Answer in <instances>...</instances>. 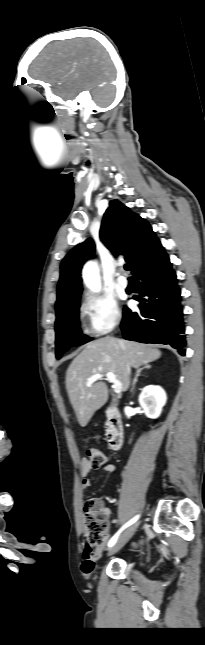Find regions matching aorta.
I'll list each match as a JSON object with an SVG mask.
<instances>
[{"mask_svg":"<svg viewBox=\"0 0 205 645\" xmlns=\"http://www.w3.org/2000/svg\"><path fill=\"white\" fill-rule=\"evenodd\" d=\"M83 279L85 284L93 292L100 290L99 274L96 265L93 262H88L83 269Z\"/></svg>","mask_w":205,"mask_h":645,"instance_id":"1","label":"aorta"}]
</instances>
